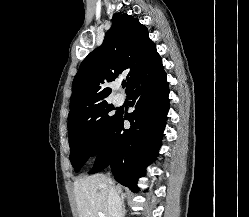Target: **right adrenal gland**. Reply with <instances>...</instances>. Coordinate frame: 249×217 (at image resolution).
I'll list each match as a JSON object with an SVG mask.
<instances>
[{"instance_id":"obj_1","label":"right adrenal gland","mask_w":249,"mask_h":217,"mask_svg":"<svg viewBox=\"0 0 249 217\" xmlns=\"http://www.w3.org/2000/svg\"><path fill=\"white\" fill-rule=\"evenodd\" d=\"M126 210H125V198L122 197V217L125 216Z\"/></svg>"}]
</instances>
